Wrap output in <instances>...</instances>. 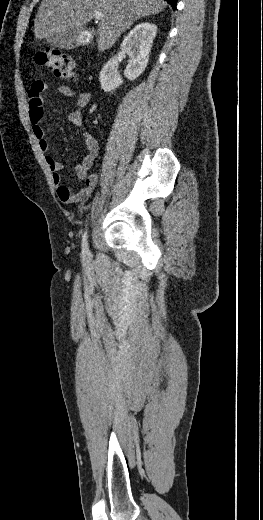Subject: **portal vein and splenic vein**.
Instances as JSON below:
<instances>
[{"label": "portal vein and splenic vein", "mask_w": 263, "mask_h": 520, "mask_svg": "<svg viewBox=\"0 0 263 520\" xmlns=\"http://www.w3.org/2000/svg\"><path fill=\"white\" fill-rule=\"evenodd\" d=\"M94 17L96 20H100L104 17V14L102 12H95Z\"/></svg>", "instance_id": "portal-vein-and-splenic-vein-1"}]
</instances>
